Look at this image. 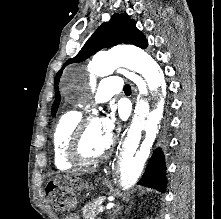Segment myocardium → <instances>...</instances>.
<instances>
[{
	"mask_svg": "<svg viewBox=\"0 0 221 219\" xmlns=\"http://www.w3.org/2000/svg\"><path fill=\"white\" fill-rule=\"evenodd\" d=\"M93 119L96 118L88 117L86 119L81 120V122L75 128L68 142L66 156L68 160L73 163V165L88 166L100 162L106 159L115 147V139L114 137L111 136L106 150L100 155H97L92 158H85L81 155L80 152L81 142L89 122Z\"/></svg>",
	"mask_w": 221,
	"mask_h": 219,
	"instance_id": "obj_1",
	"label": "myocardium"
}]
</instances>
